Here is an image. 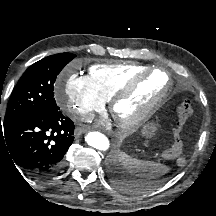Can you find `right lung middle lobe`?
<instances>
[{
	"label": "right lung middle lobe",
	"mask_w": 216,
	"mask_h": 216,
	"mask_svg": "<svg viewBox=\"0 0 216 216\" xmlns=\"http://www.w3.org/2000/svg\"><path fill=\"white\" fill-rule=\"evenodd\" d=\"M73 58L74 54L61 53L32 64L12 92L4 122L34 113L59 110L54 98V83L57 75Z\"/></svg>",
	"instance_id": "dd1d6c3e"
}]
</instances>
